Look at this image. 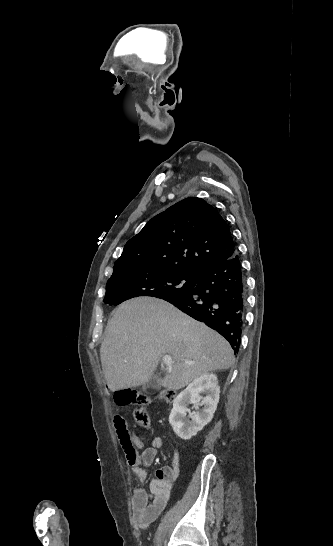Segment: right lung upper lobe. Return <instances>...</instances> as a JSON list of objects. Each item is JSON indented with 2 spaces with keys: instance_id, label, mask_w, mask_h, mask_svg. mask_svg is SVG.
Listing matches in <instances>:
<instances>
[{
  "instance_id": "right-lung-upper-lobe-1",
  "label": "right lung upper lobe",
  "mask_w": 333,
  "mask_h": 546,
  "mask_svg": "<svg viewBox=\"0 0 333 546\" xmlns=\"http://www.w3.org/2000/svg\"><path fill=\"white\" fill-rule=\"evenodd\" d=\"M236 253L218 211L201 198L189 197L153 217L126 243L113 269L134 266L199 276Z\"/></svg>"
}]
</instances>
